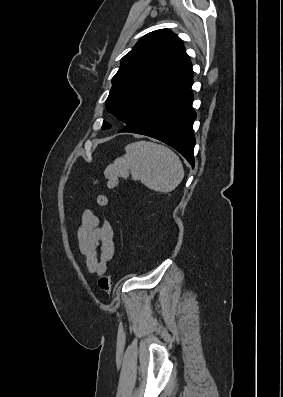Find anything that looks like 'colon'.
Instances as JSON below:
<instances>
[{
    "instance_id": "5ec220e1",
    "label": "colon",
    "mask_w": 283,
    "mask_h": 397,
    "mask_svg": "<svg viewBox=\"0 0 283 397\" xmlns=\"http://www.w3.org/2000/svg\"><path fill=\"white\" fill-rule=\"evenodd\" d=\"M97 203H98V205H100L102 207L107 206V204H108L107 196L104 195V194H99L97 196ZM98 286L103 292L109 293L111 291V288H112V277H111V275H109V274L103 275L98 281Z\"/></svg>"
}]
</instances>
